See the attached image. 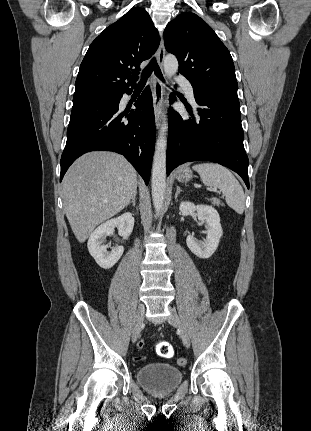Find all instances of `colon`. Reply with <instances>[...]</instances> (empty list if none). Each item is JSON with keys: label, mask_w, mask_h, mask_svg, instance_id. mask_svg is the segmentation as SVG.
Wrapping results in <instances>:
<instances>
[{"label": "colon", "mask_w": 311, "mask_h": 431, "mask_svg": "<svg viewBox=\"0 0 311 431\" xmlns=\"http://www.w3.org/2000/svg\"><path fill=\"white\" fill-rule=\"evenodd\" d=\"M144 345H145L144 341L141 340L138 343L139 349L144 348ZM156 351H157V354L163 358H171L173 356V347L168 342H164V341L159 342L156 346ZM135 360L142 361L144 360V356L138 355L135 357ZM177 363L179 366H185L187 361L185 358H179Z\"/></svg>", "instance_id": "obj_1"}]
</instances>
